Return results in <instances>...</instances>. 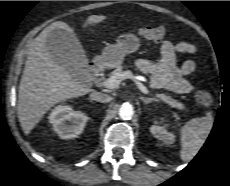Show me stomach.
<instances>
[{
    "mask_svg": "<svg viewBox=\"0 0 230 186\" xmlns=\"http://www.w3.org/2000/svg\"><path fill=\"white\" fill-rule=\"evenodd\" d=\"M140 47V39L134 34H123L116 39V44L105 47L97 60L105 67L120 66L124 57L136 52Z\"/></svg>",
    "mask_w": 230,
    "mask_h": 186,
    "instance_id": "stomach-1",
    "label": "stomach"
}]
</instances>
